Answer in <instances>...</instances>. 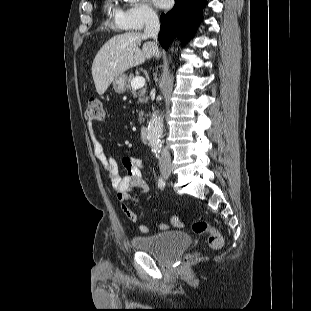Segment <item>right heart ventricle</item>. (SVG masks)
Here are the masks:
<instances>
[{"mask_svg":"<svg viewBox=\"0 0 311 311\" xmlns=\"http://www.w3.org/2000/svg\"><path fill=\"white\" fill-rule=\"evenodd\" d=\"M104 9L107 12V15L111 20L109 22L115 28L123 29L122 25L119 21V13L120 11L113 5L112 0H107L104 4Z\"/></svg>","mask_w":311,"mask_h":311,"instance_id":"e07e8e85","label":"right heart ventricle"}]
</instances>
